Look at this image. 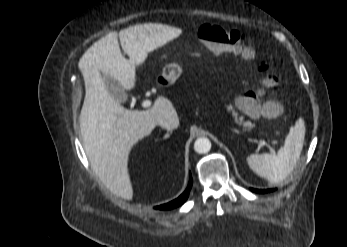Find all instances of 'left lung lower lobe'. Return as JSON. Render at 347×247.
<instances>
[{
    "instance_id": "left-lung-lower-lobe-1",
    "label": "left lung lower lobe",
    "mask_w": 347,
    "mask_h": 247,
    "mask_svg": "<svg viewBox=\"0 0 347 247\" xmlns=\"http://www.w3.org/2000/svg\"><path fill=\"white\" fill-rule=\"evenodd\" d=\"M251 191L256 192V193H266V192H271L273 190H258V189H252L251 188Z\"/></svg>"
}]
</instances>
